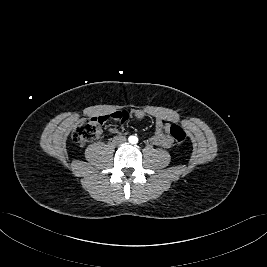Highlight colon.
<instances>
[{"label": "colon", "instance_id": "1", "mask_svg": "<svg viewBox=\"0 0 267 267\" xmlns=\"http://www.w3.org/2000/svg\"><path fill=\"white\" fill-rule=\"evenodd\" d=\"M116 119L125 122L127 120V114L123 111H119L116 115L110 117L100 116L85 119L72 130V139L77 143L92 141L99 136L105 121ZM170 135L178 144L184 143L187 138L185 130L176 124L170 126Z\"/></svg>", "mask_w": 267, "mask_h": 267}]
</instances>
